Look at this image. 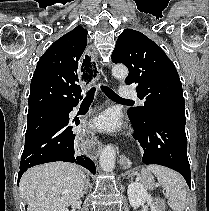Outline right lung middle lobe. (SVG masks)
Masks as SVG:
<instances>
[{"label": "right lung middle lobe", "mask_w": 209, "mask_h": 211, "mask_svg": "<svg viewBox=\"0 0 209 211\" xmlns=\"http://www.w3.org/2000/svg\"><path fill=\"white\" fill-rule=\"evenodd\" d=\"M66 109L67 108H45L28 112L25 144L32 141L42 131L61 119L66 113Z\"/></svg>", "instance_id": "obj_1"}]
</instances>
